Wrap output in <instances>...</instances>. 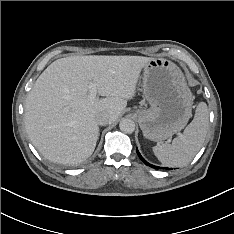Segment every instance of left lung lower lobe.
<instances>
[{"label":"left lung lower lobe","instance_id":"0a47b994","mask_svg":"<svg viewBox=\"0 0 234 234\" xmlns=\"http://www.w3.org/2000/svg\"><path fill=\"white\" fill-rule=\"evenodd\" d=\"M136 152H137L139 158H140L146 165H148V166H150V167H152V168H154V169H163L162 167L154 166V165L148 163V162L141 156V154L139 153V151H138L137 148H136Z\"/></svg>","mask_w":234,"mask_h":234}]
</instances>
